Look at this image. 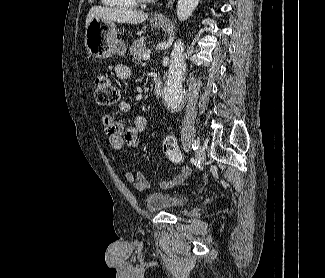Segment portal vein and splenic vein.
Segmentation results:
<instances>
[{"label":"portal vein and splenic vein","instance_id":"18ae733b","mask_svg":"<svg viewBox=\"0 0 325 278\" xmlns=\"http://www.w3.org/2000/svg\"><path fill=\"white\" fill-rule=\"evenodd\" d=\"M150 58V53L147 52L143 55V60H148Z\"/></svg>","mask_w":325,"mask_h":278}]
</instances>
